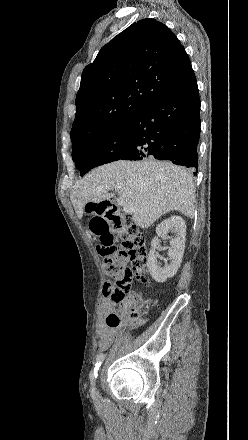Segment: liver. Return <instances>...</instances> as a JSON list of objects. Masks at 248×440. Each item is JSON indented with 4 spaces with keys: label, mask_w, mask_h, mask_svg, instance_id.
<instances>
[{
    "label": "liver",
    "mask_w": 248,
    "mask_h": 440,
    "mask_svg": "<svg viewBox=\"0 0 248 440\" xmlns=\"http://www.w3.org/2000/svg\"><path fill=\"white\" fill-rule=\"evenodd\" d=\"M109 190L117 191L132 205V219L143 229L170 211H179L189 218L194 215L192 174L168 161H116L93 169L70 192L78 218L83 217L87 203L109 199Z\"/></svg>",
    "instance_id": "6515ba94"
}]
</instances>
